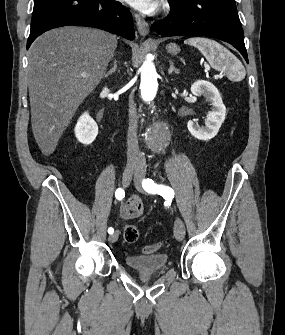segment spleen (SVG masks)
I'll list each match as a JSON object with an SVG mask.
<instances>
[{
    "mask_svg": "<svg viewBox=\"0 0 285 335\" xmlns=\"http://www.w3.org/2000/svg\"><path fill=\"white\" fill-rule=\"evenodd\" d=\"M184 44L198 48L199 52L205 56L210 66L215 68V70L221 58H227L226 64L229 60L234 58L233 54H230L226 48H223V46H220V44H218V42H214V40H208V38H189V40H185ZM235 68L242 70V78H244L246 72L243 70L240 62H236Z\"/></svg>",
    "mask_w": 285,
    "mask_h": 335,
    "instance_id": "spleen-1",
    "label": "spleen"
}]
</instances>
